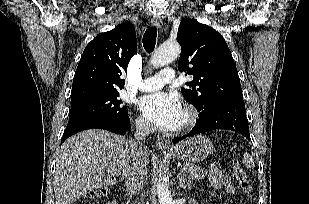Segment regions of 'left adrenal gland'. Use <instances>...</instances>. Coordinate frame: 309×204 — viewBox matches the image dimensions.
Wrapping results in <instances>:
<instances>
[{
  "instance_id": "1",
  "label": "left adrenal gland",
  "mask_w": 309,
  "mask_h": 204,
  "mask_svg": "<svg viewBox=\"0 0 309 204\" xmlns=\"http://www.w3.org/2000/svg\"><path fill=\"white\" fill-rule=\"evenodd\" d=\"M177 179H178V184H179V187L183 188L184 190H186L187 188L188 189H191L192 188V185L190 183V181H187V179H185L181 173H179L177 175Z\"/></svg>"
}]
</instances>
